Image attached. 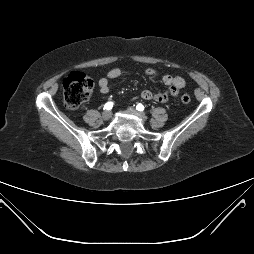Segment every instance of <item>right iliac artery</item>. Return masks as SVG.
<instances>
[{"instance_id": "1", "label": "right iliac artery", "mask_w": 254, "mask_h": 254, "mask_svg": "<svg viewBox=\"0 0 254 254\" xmlns=\"http://www.w3.org/2000/svg\"><path fill=\"white\" fill-rule=\"evenodd\" d=\"M112 107H113V102H108L104 105V109L106 110H110L112 109Z\"/></svg>"}]
</instances>
